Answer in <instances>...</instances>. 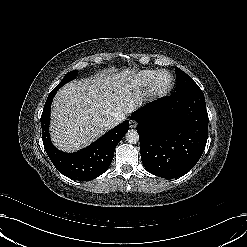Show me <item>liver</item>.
Masks as SVG:
<instances>
[{
    "label": "liver",
    "mask_w": 247,
    "mask_h": 247,
    "mask_svg": "<svg viewBox=\"0 0 247 247\" xmlns=\"http://www.w3.org/2000/svg\"><path fill=\"white\" fill-rule=\"evenodd\" d=\"M134 73L129 69L102 72L64 85L52 103L53 144L62 151L74 152L106 132L108 117L131 113L143 101Z\"/></svg>",
    "instance_id": "1"
}]
</instances>
